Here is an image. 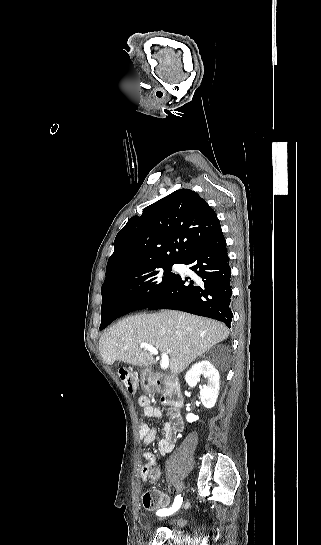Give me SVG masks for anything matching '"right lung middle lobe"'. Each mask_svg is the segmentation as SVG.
<instances>
[{
	"instance_id": "right-lung-middle-lobe-1",
	"label": "right lung middle lobe",
	"mask_w": 321,
	"mask_h": 545,
	"mask_svg": "<svg viewBox=\"0 0 321 545\" xmlns=\"http://www.w3.org/2000/svg\"><path fill=\"white\" fill-rule=\"evenodd\" d=\"M173 264H161L126 276L117 286L101 289L102 305L112 296L131 297L143 304H149L162 294L177 274L172 273ZM101 327L105 324L103 318Z\"/></svg>"
}]
</instances>
